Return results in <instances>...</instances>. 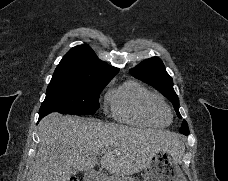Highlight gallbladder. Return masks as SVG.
<instances>
[{
	"instance_id": "1",
	"label": "gallbladder",
	"mask_w": 228,
	"mask_h": 181,
	"mask_svg": "<svg viewBox=\"0 0 228 181\" xmlns=\"http://www.w3.org/2000/svg\"><path fill=\"white\" fill-rule=\"evenodd\" d=\"M72 175H76L78 173V169H74V167H71Z\"/></svg>"
}]
</instances>
